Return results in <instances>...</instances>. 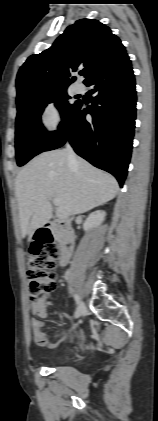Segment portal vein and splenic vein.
Instances as JSON below:
<instances>
[{"instance_id":"portal-vein-and-splenic-vein-1","label":"portal vein and splenic vein","mask_w":158,"mask_h":421,"mask_svg":"<svg viewBox=\"0 0 158 421\" xmlns=\"http://www.w3.org/2000/svg\"><path fill=\"white\" fill-rule=\"evenodd\" d=\"M53 203L55 206H59L60 202L58 199H53Z\"/></svg>"}]
</instances>
